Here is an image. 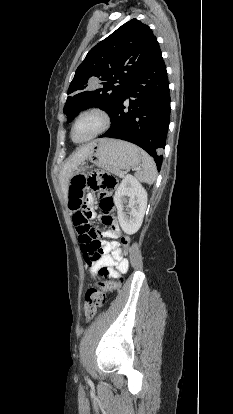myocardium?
<instances>
[{
  "instance_id": "f54148a6",
  "label": "myocardium",
  "mask_w": 233,
  "mask_h": 414,
  "mask_svg": "<svg viewBox=\"0 0 233 414\" xmlns=\"http://www.w3.org/2000/svg\"><path fill=\"white\" fill-rule=\"evenodd\" d=\"M86 116H95V117H97L98 120H99V126L94 132H92L87 137H85L81 140H76L74 138L75 128H76L77 124L79 123V121L82 118L86 117ZM111 124H112V118L106 110H104L100 107L86 108V109L82 110L81 112H79L77 114V116L74 118L73 122H72L71 129H70L71 140L74 143H78V144L88 142V141L104 134L105 132H107L109 130V128L111 127Z\"/></svg>"
}]
</instances>
